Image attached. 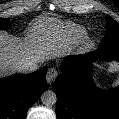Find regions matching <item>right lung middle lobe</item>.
<instances>
[{
    "label": "right lung middle lobe",
    "instance_id": "right-lung-middle-lobe-1",
    "mask_svg": "<svg viewBox=\"0 0 119 119\" xmlns=\"http://www.w3.org/2000/svg\"><path fill=\"white\" fill-rule=\"evenodd\" d=\"M8 28H10L9 20L0 18V30H4Z\"/></svg>",
    "mask_w": 119,
    "mask_h": 119
}]
</instances>
